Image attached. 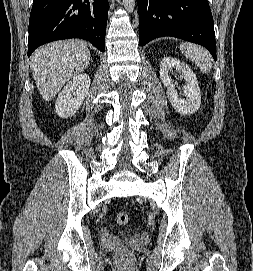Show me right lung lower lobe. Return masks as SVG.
<instances>
[{"instance_id":"right-lung-lower-lobe-1","label":"right lung lower lobe","mask_w":253,"mask_h":271,"mask_svg":"<svg viewBox=\"0 0 253 271\" xmlns=\"http://www.w3.org/2000/svg\"><path fill=\"white\" fill-rule=\"evenodd\" d=\"M108 9V0H34L28 57L40 45L68 38L86 39L104 52Z\"/></svg>"}]
</instances>
